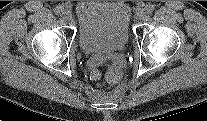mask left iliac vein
<instances>
[{"label":"left iliac vein","mask_w":207,"mask_h":121,"mask_svg":"<svg viewBox=\"0 0 207 121\" xmlns=\"http://www.w3.org/2000/svg\"><path fill=\"white\" fill-rule=\"evenodd\" d=\"M145 11L144 10H140L137 12V19L138 20H143L145 18Z\"/></svg>","instance_id":"obj_1"}]
</instances>
